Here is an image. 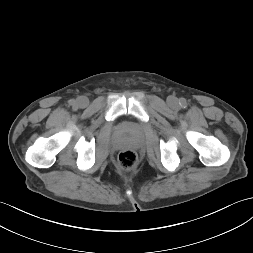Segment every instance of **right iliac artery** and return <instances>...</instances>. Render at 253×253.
Masks as SVG:
<instances>
[{
    "label": "right iliac artery",
    "mask_w": 253,
    "mask_h": 253,
    "mask_svg": "<svg viewBox=\"0 0 253 253\" xmlns=\"http://www.w3.org/2000/svg\"><path fill=\"white\" fill-rule=\"evenodd\" d=\"M69 103H70V105H75L76 104V102L74 100H70Z\"/></svg>",
    "instance_id": "right-iliac-artery-1"
}]
</instances>
